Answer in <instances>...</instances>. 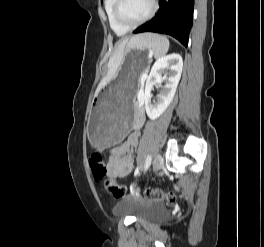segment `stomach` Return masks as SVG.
<instances>
[{"mask_svg": "<svg viewBox=\"0 0 264 247\" xmlns=\"http://www.w3.org/2000/svg\"><path fill=\"white\" fill-rule=\"evenodd\" d=\"M144 36L128 44L127 49H133L134 53H127L123 62L132 63H121L117 70L119 76L113 78L108 86H103L93 101L88 137L96 148L116 147V142L124 141L127 131H130L137 81L139 75L144 74L146 62L151 57L150 53H143L147 48L139 45Z\"/></svg>", "mask_w": 264, "mask_h": 247, "instance_id": "0dacf381", "label": "stomach"}]
</instances>
